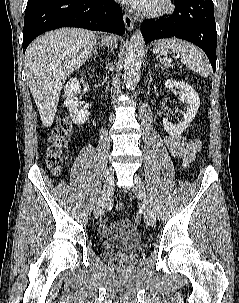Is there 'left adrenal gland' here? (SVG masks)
<instances>
[{"mask_svg":"<svg viewBox=\"0 0 239 303\" xmlns=\"http://www.w3.org/2000/svg\"><path fill=\"white\" fill-rule=\"evenodd\" d=\"M155 67H161L160 64H155Z\"/></svg>","mask_w":239,"mask_h":303,"instance_id":"a2214340","label":"left adrenal gland"}]
</instances>
